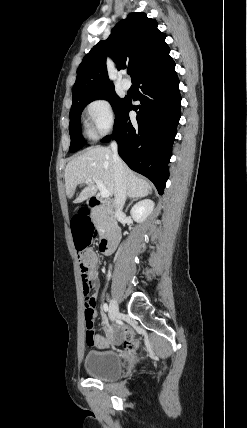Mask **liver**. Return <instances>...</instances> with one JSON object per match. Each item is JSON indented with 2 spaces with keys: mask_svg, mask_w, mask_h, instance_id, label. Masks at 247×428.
<instances>
[{
  "mask_svg": "<svg viewBox=\"0 0 247 428\" xmlns=\"http://www.w3.org/2000/svg\"><path fill=\"white\" fill-rule=\"evenodd\" d=\"M126 195L130 198L146 196L150 184L136 176L124 163ZM91 179V181H87ZM95 180H100L110 195L115 194L113 152L103 146L87 149L83 154L71 160L65 169V188L68 198H72L79 184L86 183L74 203H81L96 195L98 187Z\"/></svg>",
  "mask_w": 247,
  "mask_h": 428,
  "instance_id": "obj_1",
  "label": "liver"
}]
</instances>
